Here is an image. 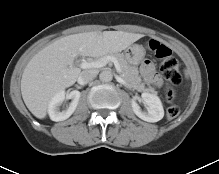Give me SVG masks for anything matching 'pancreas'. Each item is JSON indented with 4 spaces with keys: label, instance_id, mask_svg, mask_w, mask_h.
Wrapping results in <instances>:
<instances>
[{
    "label": "pancreas",
    "instance_id": "1",
    "mask_svg": "<svg viewBox=\"0 0 219 174\" xmlns=\"http://www.w3.org/2000/svg\"><path fill=\"white\" fill-rule=\"evenodd\" d=\"M109 56L115 57L121 67V75L124 80L129 83V85L139 91H148L152 93H157L154 88L149 87L145 88V85L142 83L141 77L139 76L138 69L134 66L128 64L127 60L122 54L119 53H110ZM106 55V56H108Z\"/></svg>",
    "mask_w": 219,
    "mask_h": 174
}]
</instances>
